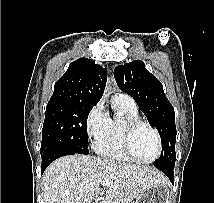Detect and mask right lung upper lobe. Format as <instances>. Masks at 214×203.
Masks as SVG:
<instances>
[{
    "label": "right lung upper lobe",
    "mask_w": 214,
    "mask_h": 203,
    "mask_svg": "<svg viewBox=\"0 0 214 203\" xmlns=\"http://www.w3.org/2000/svg\"><path fill=\"white\" fill-rule=\"evenodd\" d=\"M107 70L94 60L79 58L69 65L66 73L55 83L49 101L97 104L103 95Z\"/></svg>",
    "instance_id": "cb5924a9"
}]
</instances>
